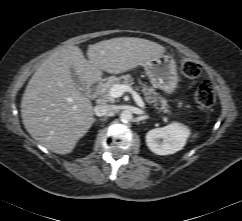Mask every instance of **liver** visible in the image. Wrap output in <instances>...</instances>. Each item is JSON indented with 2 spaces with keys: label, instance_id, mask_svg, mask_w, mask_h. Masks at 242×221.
<instances>
[{
  "label": "liver",
  "instance_id": "1",
  "mask_svg": "<svg viewBox=\"0 0 242 221\" xmlns=\"http://www.w3.org/2000/svg\"><path fill=\"white\" fill-rule=\"evenodd\" d=\"M165 47L135 37H120L89 45L87 57L78 46L54 52L33 74L21 102L27 132L56 154H68L94 122L93 106L71 77L73 67L87 87L101 79L102 71L120 74L162 55Z\"/></svg>",
  "mask_w": 242,
  "mask_h": 221
}]
</instances>
